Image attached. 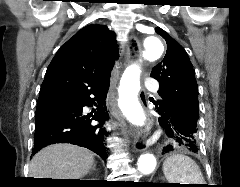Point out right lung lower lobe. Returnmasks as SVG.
Instances as JSON below:
<instances>
[{
  "label": "right lung lower lobe",
  "instance_id": "1",
  "mask_svg": "<svg viewBox=\"0 0 240 187\" xmlns=\"http://www.w3.org/2000/svg\"><path fill=\"white\" fill-rule=\"evenodd\" d=\"M108 88L109 81H105L72 97L38 103L32 154L50 144L71 143L86 147L105 160L108 132L102 124L109 118L105 102ZM85 106L97 108L84 114ZM94 121L99 124L95 125Z\"/></svg>",
  "mask_w": 240,
  "mask_h": 187
}]
</instances>
